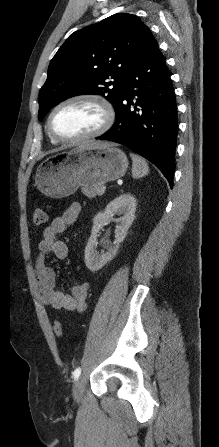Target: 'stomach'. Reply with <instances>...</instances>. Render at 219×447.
<instances>
[{"label":"stomach","instance_id":"stomach-1","mask_svg":"<svg viewBox=\"0 0 219 447\" xmlns=\"http://www.w3.org/2000/svg\"><path fill=\"white\" fill-rule=\"evenodd\" d=\"M127 167L123 151L94 142L48 157L38 166L35 182L42 194L62 198L72 195L80 186L103 185L119 179Z\"/></svg>","mask_w":219,"mask_h":447}]
</instances>
